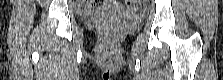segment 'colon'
Returning <instances> with one entry per match:
<instances>
[{
	"label": "colon",
	"instance_id": "colon-1",
	"mask_svg": "<svg viewBox=\"0 0 223 80\" xmlns=\"http://www.w3.org/2000/svg\"><path fill=\"white\" fill-rule=\"evenodd\" d=\"M127 4L130 10L137 11L145 4V1L144 0H129L127 1Z\"/></svg>",
	"mask_w": 223,
	"mask_h": 80
}]
</instances>
